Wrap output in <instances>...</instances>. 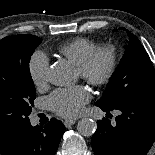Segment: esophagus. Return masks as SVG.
<instances>
[{"mask_svg": "<svg viewBox=\"0 0 155 155\" xmlns=\"http://www.w3.org/2000/svg\"><path fill=\"white\" fill-rule=\"evenodd\" d=\"M76 123V119H67L64 121V125L66 127H70L71 125H74Z\"/></svg>", "mask_w": 155, "mask_h": 155, "instance_id": "esophagus-1", "label": "esophagus"}]
</instances>
